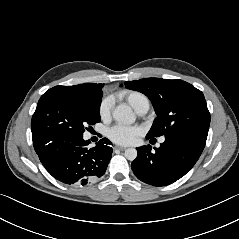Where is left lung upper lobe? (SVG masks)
I'll use <instances>...</instances> for the list:
<instances>
[{
	"label": "left lung upper lobe",
	"instance_id": "obj_1",
	"mask_svg": "<svg viewBox=\"0 0 239 239\" xmlns=\"http://www.w3.org/2000/svg\"><path fill=\"white\" fill-rule=\"evenodd\" d=\"M125 86L145 94L157 118L148 138L181 135L206 142L210 113L203 93L183 80L145 78L126 81Z\"/></svg>",
	"mask_w": 239,
	"mask_h": 239
}]
</instances>
